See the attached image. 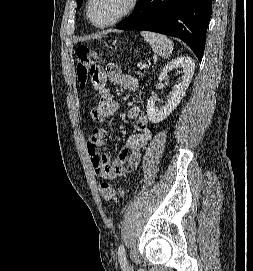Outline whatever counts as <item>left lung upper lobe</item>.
Instances as JSON below:
<instances>
[{
    "label": "left lung upper lobe",
    "mask_w": 253,
    "mask_h": 271,
    "mask_svg": "<svg viewBox=\"0 0 253 271\" xmlns=\"http://www.w3.org/2000/svg\"><path fill=\"white\" fill-rule=\"evenodd\" d=\"M77 3H78V8H80L82 5V0H77Z\"/></svg>",
    "instance_id": "left-lung-upper-lobe-1"
}]
</instances>
